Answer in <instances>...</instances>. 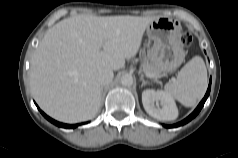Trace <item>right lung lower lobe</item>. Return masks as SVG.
<instances>
[{
    "label": "right lung lower lobe",
    "instance_id": "1",
    "mask_svg": "<svg viewBox=\"0 0 238 158\" xmlns=\"http://www.w3.org/2000/svg\"><path fill=\"white\" fill-rule=\"evenodd\" d=\"M41 114L47 119L49 120L50 122H52L53 124L59 126V127H63V128H75L77 127L79 124H75V125H69V124H63V123H60V122H57L53 119H51L50 117H48L44 112H42L40 110Z\"/></svg>",
    "mask_w": 238,
    "mask_h": 158
}]
</instances>
